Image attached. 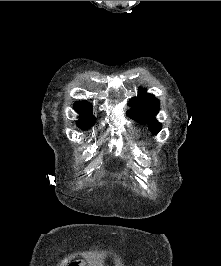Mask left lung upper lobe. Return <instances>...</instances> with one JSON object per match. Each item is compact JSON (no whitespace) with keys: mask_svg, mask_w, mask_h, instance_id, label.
I'll return each instance as SVG.
<instances>
[{"mask_svg":"<svg viewBox=\"0 0 221 266\" xmlns=\"http://www.w3.org/2000/svg\"><path fill=\"white\" fill-rule=\"evenodd\" d=\"M145 91L140 88L138 96L130 100L131 111L127 114L139 123L148 124L149 130L156 135L162 127L155 119L159 111V101L154 95L147 94Z\"/></svg>","mask_w":221,"mask_h":266,"instance_id":"5c2ea615","label":"left lung upper lobe"}]
</instances>
